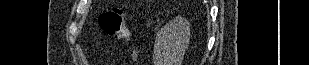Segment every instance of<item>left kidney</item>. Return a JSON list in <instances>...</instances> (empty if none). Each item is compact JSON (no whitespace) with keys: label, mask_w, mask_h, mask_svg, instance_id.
I'll list each match as a JSON object with an SVG mask.
<instances>
[{"label":"left kidney","mask_w":309,"mask_h":65,"mask_svg":"<svg viewBox=\"0 0 309 65\" xmlns=\"http://www.w3.org/2000/svg\"><path fill=\"white\" fill-rule=\"evenodd\" d=\"M190 40V24L176 17L157 33L153 49L154 65H181Z\"/></svg>","instance_id":"left-kidney-1"}]
</instances>
